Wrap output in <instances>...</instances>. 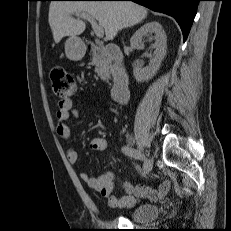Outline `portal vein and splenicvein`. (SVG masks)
<instances>
[{"instance_id": "obj_1", "label": "portal vein and splenic vein", "mask_w": 231, "mask_h": 231, "mask_svg": "<svg viewBox=\"0 0 231 231\" xmlns=\"http://www.w3.org/2000/svg\"><path fill=\"white\" fill-rule=\"evenodd\" d=\"M79 17L86 19L87 21L90 22V24L92 25V28L96 34L97 37L101 38L104 35V30L103 27L99 26L96 22V20L94 19V17L90 16L89 14L86 13H81L80 15H78Z\"/></svg>"}]
</instances>
